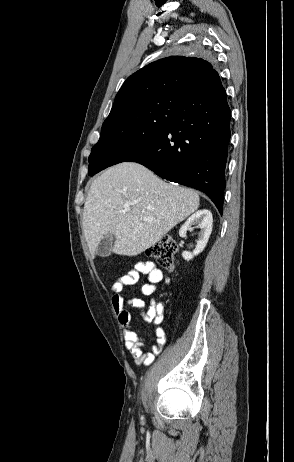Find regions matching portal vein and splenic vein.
<instances>
[{"mask_svg":"<svg viewBox=\"0 0 294 462\" xmlns=\"http://www.w3.org/2000/svg\"><path fill=\"white\" fill-rule=\"evenodd\" d=\"M129 210H130V208H129V207H126V208H125V211H129Z\"/></svg>","mask_w":294,"mask_h":462,"instance_id":"1","label":"portal vein and splenic vein"}]
</instances>
